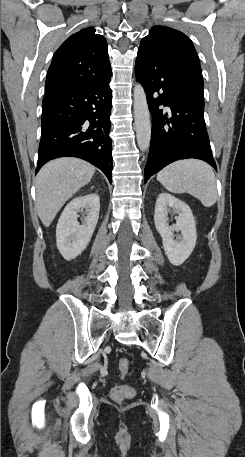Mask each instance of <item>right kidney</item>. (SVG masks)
I'll list each match as a JSON object with an SVG mask.
<instances>
[{
  "label": "right kidney",
  "instance_id": "right-kidney-1",
  "mask_svg": "<svg viewBox=\"0 0 245 457\" xmlns=\"http://www.w3.org/2000/svg\"><path fill=\"white\" fill-rule=\"evenodd\" d=\"M100 198L97 192L76 196L65 206L56 226L58 251H64L71 259L81 255L90 243L99 218ZM82 212V224L77 218Z\"/></svg>",
  "mask_w": 245,
  "mask_h": 457
}]
</instances>
